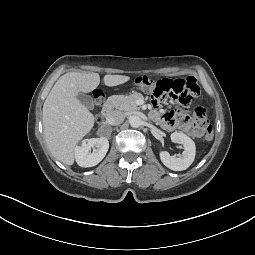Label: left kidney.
<instances>
[{
  "mask_svg": "<svg viewBox=\"0 0 255 255\" xmlns=\"http://www.w3.org/2000/svg\"><path fill=\"white\" fill-rule=\"evenodd\" d=\"M171 140L174 143L181 144L184 151L180 157L170 156L167 151L159 153L162 163L173 171H182L187 169L194 161L196 147L194 141L184 133L174 132L171 134Z\"/></svg>",
  "mask_w": 255,
  "mask_h": 255,
  "instance_id": "obj_1",
  "label": "left kidney"
}]
</instances>
